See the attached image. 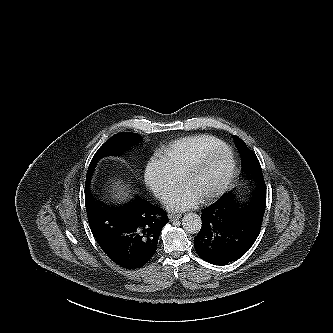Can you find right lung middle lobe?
Wrapping results in <instances>:
<instances>
[{"label": "right lung middle lobe", "mask_w": 333, "mask_h": 333, "mask_svg": "<svg viewBox=\"0 0 333 333\" xmlns=\"http://www.w3.org/2000/svg\"><path fill=\"white\" fill-rule=\"evenodd\" d=\"M139 136L135 133H118L112 136L109 140H107L95 153L93 156L86 177V184L89 185L91 176L94 172L95 166L97 162L105 156H114L123 153L125 150L130 148L133 144H135L139 140Z\"/></svg>", "instance_id": "obj_1"}]
</instances>
